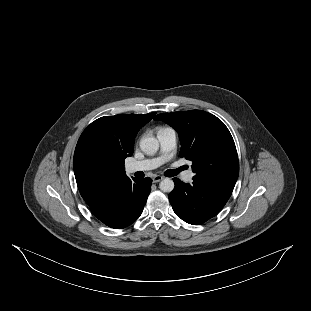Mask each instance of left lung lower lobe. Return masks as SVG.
Masks as SVG:
<instances>
[{
    "label": "left lung lower lobe",
    "mask_w": 311,
    "mask_h": 311,
    "mask_svg": "<svg viewBox=\"0 0 311 311\" xmlns=\"http://www.w3.org/2000/svg\"><path fill=\"white\" fill-rule=\"evenodd\" d=\"M175 188L169 201L176 215L189 224L199 225L214 217L226 204L233 183L193 179L186 184L174 178Z\"/></svg>",
    "instance_id": "1"
}]
</instances>
